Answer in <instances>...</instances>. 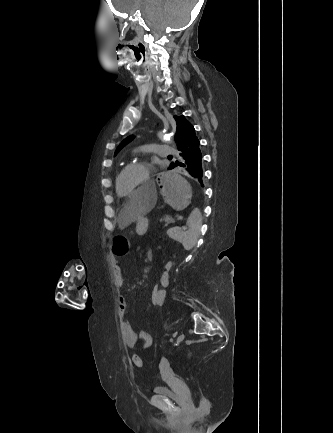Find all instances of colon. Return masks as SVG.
<instances>
[{"instance_id":"obj_1","label":"colon","mask_w":333,"mask_h":433,"mask_svg":"<svg viewBox=\"0 0 333 433\" xmlns=\"http://www.w3.org/2000/svg\"><path fill=\"white\" fill-rule=\"evenodd\" d=\"M131 244V237L130 236H115L114 239L111 242V247L113 250V257L114 258H123L125 253H128L129 247L128 245ZM164 269L167 272H170L173 269L172 261L166 260ZM163 275H166V272H163ZM159 287L157 285L153 286V291L150 294V302L152 303L153 307L156 309H159L162 306V303L160 302V293L156 290ZM132 363L135 367L141 368L143 363L142 359L139 355L135 354L132 356Z\"/></svg>"}]
</instances>
